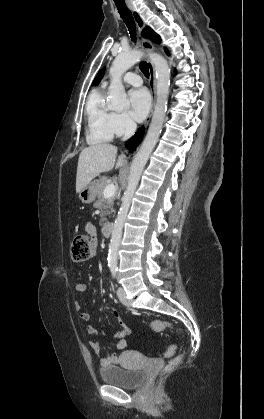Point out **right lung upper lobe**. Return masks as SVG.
I'll use <instances>...</instances> for the list:
<instances>
[{
	"label": "right lung upper lobe",
	"mask_w": 264,
	"mask_h": 419,
	"mask_svg": "<svg viewBox=\"0 0 264 419\" xmlns=\"http://www.w3.org/2000/svg\"><path fill=\"white\" fill-rule=\"evenodd\" d=\"M104 72H105V68H103L102 70L99 71V73L97 74V76L95 77V79L93 81V85H96L101 81V79L104 76Z\"/></svg>",
	"instance_id": "right-lung-upper-lobe-1"
}]
</instances>
